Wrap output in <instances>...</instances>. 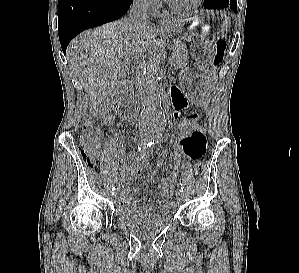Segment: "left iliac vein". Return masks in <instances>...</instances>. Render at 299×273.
Returning <instances> with one entry per match:
<instances>
[{"label":"left iliac vein","mask_w":299,"mask_h":273,"mask_svg":"<svg viewBox=\"0 0 299 273\" xmlns=\"http://www.w3.org/2000/svg\"><path fill=\"white\" fill-rule=\"evenodd\" d=\"M184 200V194L180 191L177 192V201L182 202Z\"/></svg>","instance_id":"1"}]
</instances>
